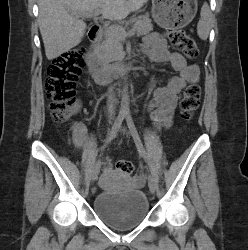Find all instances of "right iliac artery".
Masks as SVG:
<instances>
[{
  "label": "right iliac artery",
  "instance_id": "obj_1",
  "mask_svg": "<svg viewBox=\"0 0 248 250\" xmlns=\"http://www.w3.org/2000/svg\"><path fill=\"white\" fill-rule=\"evenodd\" d=\"M125 118V114L124 113H119L118 116L115 119V122L105 140L104 145L102 146V150H105L107 148V146L109 145V143L116 137L119 129L121 128L122 122ZM99 164L100 162L98 160V162L96 163V165Z\"/></svg>",
  "mask_w": 248,
  "mask_h": 250
}]
</instances>
